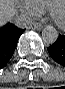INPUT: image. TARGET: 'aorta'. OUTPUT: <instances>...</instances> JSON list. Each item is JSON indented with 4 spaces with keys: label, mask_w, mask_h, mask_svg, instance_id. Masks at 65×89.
<instances>
[{
    "label": "aorta",
    "mask_w": 65,
    "mask_h": 89,
    "mask_svg": "<svg viewBox=\"0 0 65 89\" xmlns=\"http://www.w3.org/2000/svg\"><path fill=\"white\" fill-rule=\"evenodd\" d=\"M42 39L46 44H53L58 39V32L53 26H46L42 30Z\"/></svg>",
    "instance_id": "1"
}]
</instances>
